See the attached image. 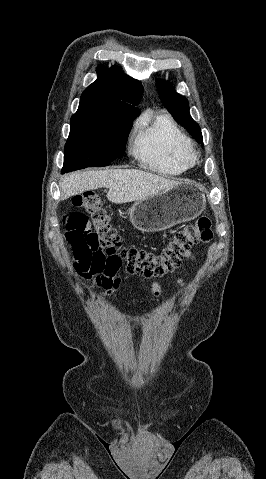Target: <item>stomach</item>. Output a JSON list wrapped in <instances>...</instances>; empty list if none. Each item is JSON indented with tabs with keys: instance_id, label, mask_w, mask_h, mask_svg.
Listing matches in <instances>:
<instances>
[{
	"instance_id": "stomach-1",
	"label": "stomach",
	"mask_w": 266,
	"mask_h": 479,
	"mask_svg": "<svg viewBox=\"0 0 266 479\" xmlns=\"http://www.w3.org/2000/svg\"><path fill=\"white\" fill-rule=\"evenodd\" d=\"M204 189L194 182H181L136 201L129 210L133 226L142 232H160L191 221L205 209Z\"/></svg>"
}]
</instances>
